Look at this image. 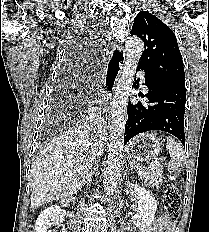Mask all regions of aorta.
Listing matches in <instances>:
<instances>
[{
  "instance_id": "aorta-1",
  "label": "aorta",
  "mask_w": 209,
  "mask_h": 232,
  "mask_svg": "<svg viewBox=\"0 0 209 232\" xmlns=\"http://www.w3.org/2000/svg\"><path fill=\"white\" fill-rule=\"evenodd\" d=\"M125 47V65L116 84L112 102L111 132L108 143L107 159L103 168V185L107 196L113 195L118 187V181L122 170V151L127 106L136 68L144 50V44L141 39L134 37L129 38L126 41Z\"/></svg>"
}]
</instances>
